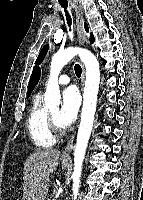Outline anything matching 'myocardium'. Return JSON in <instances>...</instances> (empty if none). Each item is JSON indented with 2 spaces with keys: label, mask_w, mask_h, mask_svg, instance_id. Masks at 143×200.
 <instances>
[{
  "label": "myocardium",
  "mask_w": 143,
  "mask_h": 200,
  "mask_svg": "<svg viewBox=\"0 0 143 200\" xmlns=\"http://www.w3.org/2000/svg\"><path fill=\"white\" fill-rule=\"evenodd\" d=\"M48 123L51 133L54 135V137L62 134L63 130L61 129V127L59 126V124L57 123V121L51 113H48Z\"/></svg>",
  "instance_id": "1"
}]
</instances>
